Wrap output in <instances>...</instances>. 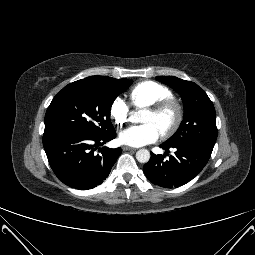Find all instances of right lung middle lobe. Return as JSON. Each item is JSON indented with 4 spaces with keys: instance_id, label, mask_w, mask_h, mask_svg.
Segmentation results:
<instances>
[{
    "instance_id": "1",
    "label": "right lung middle lobe",
    "mask_w": 255,
    "mask_h": 255,
    "mask_svg": "<svg viewBox=\"0 0 255 255\" xmlns=\"http://www.w3.org/2000/svg\"><path fill=\"white\" fill-rule=\"evenodd\" d=\"M128 79L76 81L52 100L45 115L47 132L78 131L103 136L114 131L110 110L116 97L130 86Z\"/></svg>"
}]
</instances>
